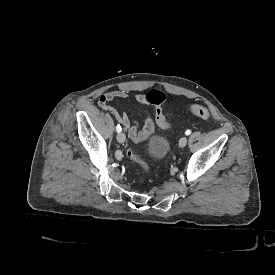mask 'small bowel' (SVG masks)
Here are the masks:
<instances>
[{"mask_svg":"<svg viewBox=\"0 0 275 275\" xmlns=\"http://www.w3.org/2000/svg\"><path fill=\"white\" fill-rule=\"evenodd\" d=\"M129 98V92L127 90H112L101 96L97 100V105L103 110L110 112L116 120L122 124L126 129H128V137L133 142H141L144 139L148 138L154 129V120L152 115L147 113L145 115L143 127L137 122H130L129 116L125 112L119 111L111 103L115 100H126ZM134 99L140 106H147L149 102L146 99L145 94L135 93Z\"/></svg>","mask_w":275,"mask_h":275,"instance_id":"small-bowel-1","label":"small bowel"}]
</instances>
